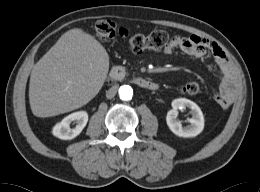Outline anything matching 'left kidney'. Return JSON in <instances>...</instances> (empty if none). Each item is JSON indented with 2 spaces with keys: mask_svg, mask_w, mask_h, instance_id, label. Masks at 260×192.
I'll return each mask as SVG.
<instances>
[{
  "mask_svg": "<svg viewBox=\"0 0 260 192\" xmlns=\"http://www.w3.org/2000/svg\"><path fill=\"white\" fill-rule=\"evenodd\" d=\"M172 110L167 113L166 122L169 129L179 137H195L204 129V116L199 106L186 98H178L172 101ZM189 108L192 117L189 119L190 125L183 127L177 119L178 110Z\"/></svg>",
  "mask_w": 260,
  "mask_h": 192,
  "instance_id": "5707ae66",
  "label": "left kidney"
}]
</instances>
